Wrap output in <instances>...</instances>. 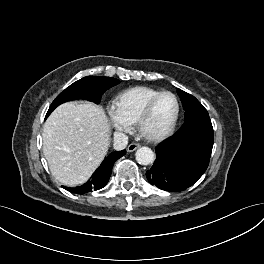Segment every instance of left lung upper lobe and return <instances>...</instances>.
Here are the masks:
<instances>
[{
  "label": "left lung upper lobe",
  "instance_id": "left-lung-upper-lobe-1",
  "mask_svg": "<svg viewBox=\"0 0 264 264\" xmlns=\"http://www.w3.org/2000/svg\"><path fill=\"white\" fill-rule=\"evenodd\" d=\"M177 93L185 110V121L181 129L190 127L198 122L210 121L207 110L194 96L180 89L177 90Z\"/></svg>",
  "mask_w": 264,
  "mask_h": 264
}]
</instances>
